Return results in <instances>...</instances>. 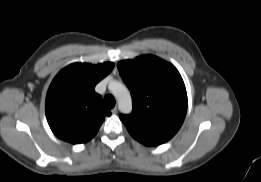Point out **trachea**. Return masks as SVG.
<instances>
[{"label":"trachea","instance_id":"trachea-1","mask_svg":"<svg viewBox=\"0 0 261 182\" xmlns=\"http://www.w3.org/2000/svg\"><path fill=\"white\" fill-rule=\"evenodd\" d=\"M115 98L112 95H106L104 97V105L109 108L112 109L115 106Z\"/></svg>","mask_w":261,"mask_h":182}]
</instances>
